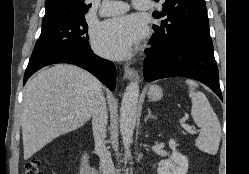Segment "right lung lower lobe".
Wrapping results in <instances>:
<instances>
[{
	"label": "right lung lower lobe",
	"mask_w": 249,
	"mask_h": 174,
	"mask_svg": "<svg viewBox=\"0 0 249 174\" xmlns=\"http://www.w3.org/2000/svg\"><path fill=\"white\" fill-rule=\"evenodd\" d=\"M54 63L74 64L86 69L114 91L116 84V70L108 60L98 57L89 47L75 49H52L32 54L24 74L23 84L37 70Z\"/></svg>",
	"instance_id": "98d812e1"
}]
</instances>
